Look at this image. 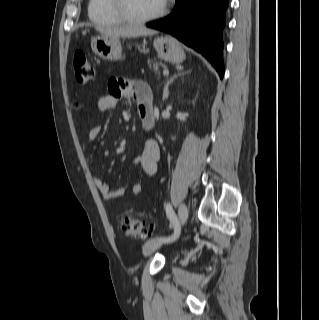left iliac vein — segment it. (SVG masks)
<instances>
[{"mask_svg": "<svg viewBox=\"0 0 319 320\" xmlns=\"http://www.w3.org/2000/svg\"><path fill=\"white\" fill-rule=\"evenodd\" d=\"M187 218H188V210H187L186 205L184 203H182L178 209V219H179V226L180 227L184 225ZM176 239H178L177 236L175 237V240ZM163 243L164 242H161L158 239L148 240L143 246V253L145 255H150L153 252H155L157 249H159L163 245Z\"/></svg>", "mask_w": 319, "mask_h": 320, "instance_id": "obj_1", "label": "left iliac vein"}]
</instances>
